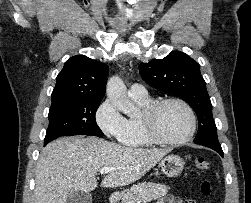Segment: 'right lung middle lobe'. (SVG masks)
Masks as SVG:
<instances>
[{
	"instance_id": "right-lung-middle-lobe-1",
	"label": "right lung middle lobe",
	"mask_w": 251,
	"mask_h": 203,
	"mask_svg": "<svg viewBox=\"0 0 251 203\" xmlns=\"http://www.w3.org/2000/svg\"><path fill=\"white\" fill-rule=\"evenodd\" d=\"M101 100H77L63 103L49 110V126L44 146L60 136L91 135L102 137L95 114Z\"/></svg>"
}]
</instances>
